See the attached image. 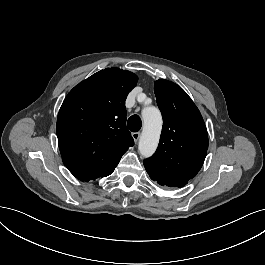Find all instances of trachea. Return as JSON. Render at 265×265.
<instances>
[{
    "instance_id": "1",
    "label": "trachea",
    "mask_w": 265,
    "mask_h": 265,
    "mask_svg": "<svg viewBox=\"0 0 265 265\" xmlns=\"http://www.w3.org/2000/svg\"><path fill=\"white\" fill-rule=\"evenodd\" d=\"M128 129L132 132H138L141 129L142 121L137 115H132L127 122Z\"/></svg>"
}]
</instances>
